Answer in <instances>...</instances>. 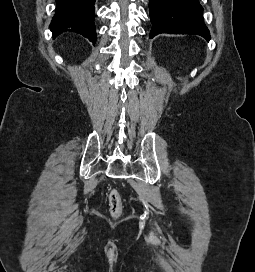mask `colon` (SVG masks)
<instances>
[{
    "label": "colon",
    "mask_w": 255,
    "mask_h": 272,
    "mask_svg": "<svg viewBox=\"0 0 255 272\" xmlns=\"http://www.w3.org/2000/svg\"><path fill=\"white\" fill-rule=\"evenodd\" d=\"M108 203L111 216L119 218L123 212V204L120 192L117 189H112L108 193Z\"/></svg>",
    "instance_id": "colon-1"
}]
</instances>
